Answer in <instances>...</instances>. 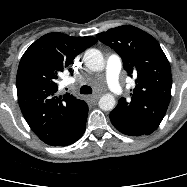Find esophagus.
Here are the masks:
<instances>
[{"mask_svg": "<svg viewBox=\"0 0 187 187\" xmlns=\"http://www.w3.org/2000/svg\"><path fill=\"white\" fill-rule=\"evenodd\" d=\"M99 98H100V95L94 94V95L89 96L88 99H89L91 102H95V101H97Z\"/></svg>", "mask_w": 187, "mask_h": 187, "instance_id": "esophagus-1", "label": "esophagus"}]
</instances>
